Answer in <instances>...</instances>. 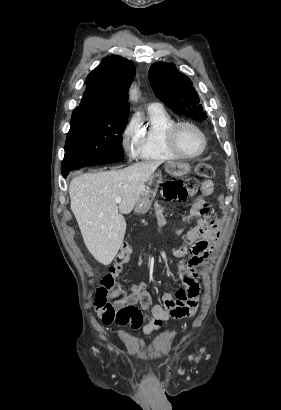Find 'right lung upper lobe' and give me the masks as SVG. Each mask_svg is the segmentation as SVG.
Segmentation results:
<instances>
[{
  "label": "right lung upper lobe",
  "instance_id": "cb5924a9",
  "mask_svg": "<svg viewBox=\"0 0 281 410\" xmlns=\"http://www.w3.org/2000/svg\"><path fill=\"white\" fill-rule=\"evenodd\" d=\"M136 73L133 62L121 56L102 60L86 78V91L77 108L128 115V86Z\"/></svg>",
  "mask_w": 281,
  "mask_h": 410
}]
</instances>
